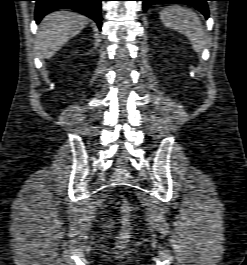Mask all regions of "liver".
<instances>
[{"label": "liver", "instance_id": "1", "mask_svg": "<svg viewBox=\"0 0 247 265\" xmlns=\"http://www.w3.org/2000/svg\"><path fill=\"white\" fill-rule=\"evenodd\" d=\"M88 19L69 10H59L48 14L40 23L36 49L42 59L51 58L71 38L86 25Z\"/></svg>", "mask_w": 247, "mask_h": 265}]
</instances>
